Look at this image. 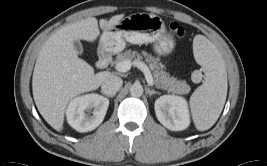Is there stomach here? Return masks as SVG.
<instances>
[{"label":"stomach","mask_w":267,"mask_h":166,"mask_svg":"<svg viewBox=\"0 0 267 166\" xmlns=\"http://www.w3.org/2000/svg\"><path fill=\"white\" fill-rule=\"evenodd\" d=\"M126 42L131 44H154V50L167 55L174 49L171 35L166 33L161 17L148 13H134L120 20L110 30H104L99 42V50L108 53L121 52Z\"/></svg>","instance_id":"1"}]
</instances>
